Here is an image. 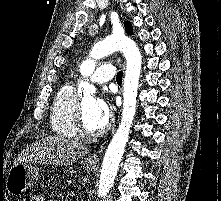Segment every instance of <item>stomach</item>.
I'll return each mask as SVG.
<instances>
[{
  "mask_svg": "<svg viewBox=\"0 0 221 201\" xmlns=\"http://www.w3.org/2000/svg\"><path fill=\"white\" fill-rule=\"evenodd\" d=\"M86 171H92L95 163L85 162L83 165ZM40 178L36 167L25 162H16L10 168L6 180V189L12 195H20L35 184Z\"/></svg>",
  "mask_w": 221,
  "mask_h": 201,
  "instance_id": "1",
  "label": "stomach"
}]
</instances>
